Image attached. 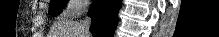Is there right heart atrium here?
Instances as JSON below:
<instances>
[{"mask_svg": "<svg viewBox=\"0 0 219 37\" xmlns=\"http://www.w3.org/2000/svg\"><path fill=\"white\" fill-rule=\"evenodd\" d=\"M87 5L86 1L83 0H71L66 3L64 10L65 17H75L83 12Z\"/></svg>", "mask_w": 219, "mask_h": 37, "instance_id": "right-heart-atrium-1", "label": "right heart atrium"}]
</instances>
